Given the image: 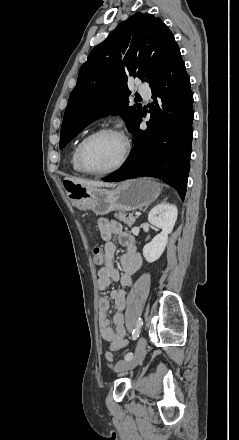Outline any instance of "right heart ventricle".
I'll return each mask as SVG.
<instances>
[{
	"mask_svg": "<svg viewBox=\"0 0 239 440\" xmlns=\"http://www.w3.org/2000/svg\"><path fill=\"white\" fill-rule=\"evenodd\" d=\"M84 137H85V134L80 136L75 141V143L72 146L71 153H70V166H71L72 171L77 174H83V171L80 169L78 162H77V150H78L80 142L83 140Z\"/></svg>",
	"mask_w": 239,
	"mask_h": 440,
	"instance_id": "1",
	"label": "right heart ventricle"
}]
</instances>
